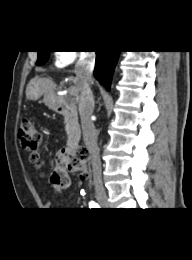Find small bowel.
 <instances>
[{
    "instance_id": "1",
    "label": "small bowel",
    "mask_w": 192,
    "mask_h": 260,
    "mask_svg": "<svg viewBox=\"0 0 192 260\" xmlns=\"http://www.w3.org/2000/svg\"><path fill=\"white\" fill-rule=\"evenodd\" d=\"M52 205V195L50 193H47L46 194V198H45V201H44V206L46 208H50Z\"/></svg>"
}]
</instances>
